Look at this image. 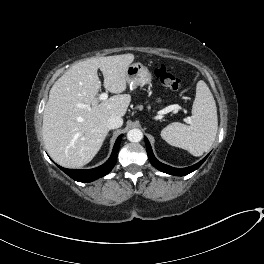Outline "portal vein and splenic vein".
<instances>
[{"label":"portal vein and splenic vein","mask_w":264,"mask_h":264,"mask_svg":"<svg viewBox=\"0 0 264 264\" xmlns=\"http://www.w3.org/2000/svg\"><path fill=\"white\" fill-rule=\"evenodd\" d=\"M108 98V94L107 93H101L100 94V96H99V100L100 101H104V100H106ZM83 107H84V105H82ZM180 109V106H178V105H171V106H169V107H167V108H165V109H163L161 112H160V114H167V113H169V112H171V111H173V110H175V111H177V110H179ZM186 122L188 123V124H190L191 123V118L190 117H187L186 118Z\"/></svg>","instance_id":"obj_1"}]
</instances>
